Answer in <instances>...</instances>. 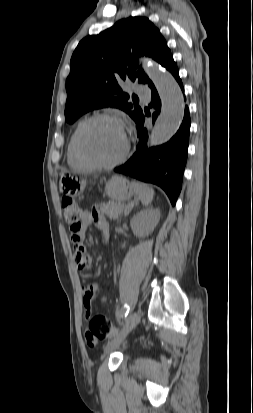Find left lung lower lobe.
<instances>
[{"label": "left lung lower lobe", "instance_id": "1", "mask_svg": "<svg viewBox=\"0 0 253 413\" xmlns=\"http://www.w3.org/2000/svg\"><path fill=\"white\" fill-rule=\"evenodd\" d=\"M165 68L174 76L182 91H184L177 65L172 56L166 63ZM149 87L152 90V103L150 107L156 109L152 115L154 123L161 110V100L155 86L151 84ZM146 115H148L146 111L145 114L142 111L135 120L139 136L137 151L125 164L116 167L114 171L144 182L157 184L166 192L172 205H175L181 191L183 173L187 161L190 133L189 109L187 106L185 107L182 124L170 141L152 148H147L146 146L148 139L147 130L144 128Z\"/></svg>", "mask_w": 253, "mask_h": 413}]
</instances>
